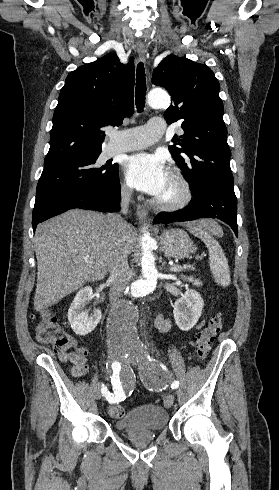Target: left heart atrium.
<instances>
[{"mask_svg":"<svg viewBox=\"0 0 279 490\" xmlns=\"http://www.w3.org/2000/svg\"><path fill=\"white\" fill-rule=\"evenodd\" d=\"M125 176L131 186L155 198L164 195L170 178L164 159L148 153L129 156L125 162Z\"/></svg>","mask_w":279,"mask_h":490,"instance_id":"39dd6f15","label":"left heart atrium"}]
</instances>
